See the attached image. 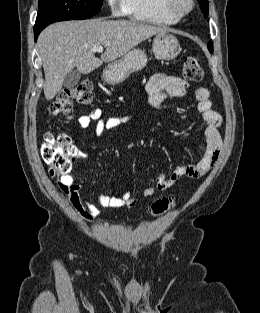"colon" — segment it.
<instances>
[{
	"instance_id": "1",
	"label": "colon",
	"mask_w": 260,
	"mask_h": 313,
	"mask_svg": "<svg viewBox=\"0 0 260 313\" xmlns=\"http://www.w3.org/2000/svg\"><path fill=\"white\" fill-rule=\"evenodd\" d=\"M182 73L183 77L189 81L196 82L204 78V71L194 57L184 59ZM93 91L94 87L90 81H82L73 87L62 90L50 104L49 114L54 117L68 116L73 109L74 102L89 104L93 98ZM41 152L54 177L69 174L78 154L74 143L67 134L55 135L52 133L45 134ZM175 204L174 197L158 199L152 204V214L160 216L174 208Z\"/></svg>"
}]
</instances>
